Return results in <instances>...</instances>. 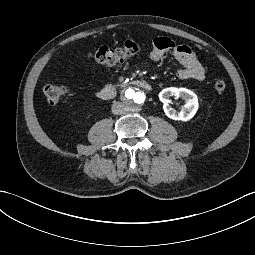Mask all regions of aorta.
<instances>
[{"instance_id":"aorta-1","label":"aorta","mask_w":255,"mask_h":255,"mask_svg":"<svg viewBox=\"0 0 255 255\" xmlns=\"http://www.w3.org/2000/svg\"><path fill=\"white\" fill-rule=\"evenodd\" d=\"M123 98L125 100V103L129 105L130 107H141L143 103L145 102L146 96L143 91H141L139 88L136 87H130L127 90H125V93L123 94Z\"/></svg>"}]
</instances>
